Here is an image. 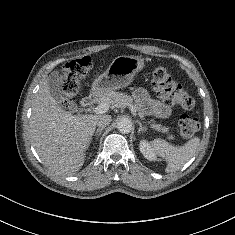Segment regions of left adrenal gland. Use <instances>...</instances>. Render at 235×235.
Wrapping results in <instances>:
<instances>
[{
    "label": "left adrenal gland",
    "mask_w": 235,
    "mask_h": 235,
    "mask_svg": "<svg viewBox=\"0 0 235 235\" xmlns=\"http://www.w3.org/2000/svg\"><path fill=\"white\" fill-rule=\"evenodd\" d=\"M139 125L138 133L143 132L146 130V127L142 126V123L140 121H136Z\"/></svg>",
    "instance_id": "left-adrenal-gland-1"
}]
</instances>
